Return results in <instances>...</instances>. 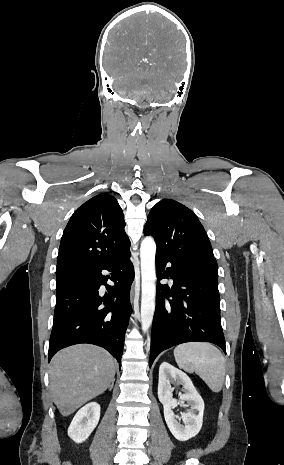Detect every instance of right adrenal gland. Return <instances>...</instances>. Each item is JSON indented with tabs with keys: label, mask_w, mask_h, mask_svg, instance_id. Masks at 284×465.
Masks as SVG:
<instances>
[{
	"label": "right adrenal gland",
	"mask_w": 284,
	"mask_h": 465,
	"mask_svg": "<svg viewBox=\"0 0 284 465\" xmlns=\"http://www.w3.org/2000/svg\"><path fill=\"white\" fill-rule=\"evenodd\" d=\"M114 381H115V379H113V381H111V385H110L109 391H112V389H113V387H114Z\"/></svg>",
	"instance_id": "2a0ac1e0"
}]
</instances>
